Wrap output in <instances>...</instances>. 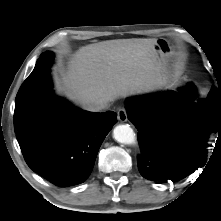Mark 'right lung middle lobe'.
<instances>
[{"label":"right lung middle lobe","instance_id":"obj_1","mask_svg":"<svg viewBox=\"0 0 221 221\" xmlns=\"http://www.w3.org/2000/svg\"><path fill=\"white\" fill-rule=\"evenodd\" d=\"M54 54L52 52H44L37 60L34 70L46 71L50 69ZM39 92L32 90V92L23 99H18L15 102L14 124L23 123L32 113L36 106L37 96Z\"/></svg>","mask_w":221,"mask_h":221}]
</instances>
